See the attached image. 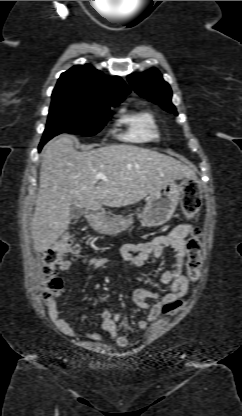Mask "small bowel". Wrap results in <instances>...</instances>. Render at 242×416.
<instances>
[{
  "label": "small bowel",
  "instance_id": "c3829d8e",
  "mask_svg": "<svg viewBox=\"0 0 242 416\" xmlns=\"http://www.w3.org/2000/svg\"><path fill=\"white\" fill-rule=\"evenodd\" d=\"M193 225L190 223H182L176 225L167 233L154 237L146 242L126 243L120 249L121 257L135 265L144 266L151 258L160 256L164 246H171L175 253V262L171 269L163 272L159 278L161 285H170L167 293L160 295L159 293L149 291L144 288L136 289L132 294L134 303L142 308L147 309L148 316L137 323L139 329L144 330L149 323L153 322L160 315L164 305L174 302L178 298L186 294L189 289V280L184 275L185 259H186V237L192 230ZM81 265L89 266L98 270H104L109 259L102 256H85L79 260ZM74 266L71 259L64 260L60 263V271H68ZM147 299L158 300L153 305L147 302ZM50 317L56 327L66 336L71 338H83L89 341H98L104 335H108L113 342L119 346L127 345V338L119 333L117 323L121 319L120 313L112 314L109 310L101 313L102 324L100 330L90 333H79L75 331L70 321L79 320L78 316L65 315L61 317L54 302L50 308Z\"/></svg>",
  "mask_w": 242,
  "mask_h": 416
}]
</instances>
